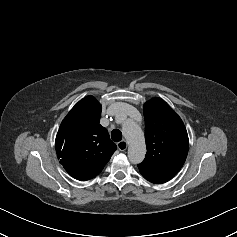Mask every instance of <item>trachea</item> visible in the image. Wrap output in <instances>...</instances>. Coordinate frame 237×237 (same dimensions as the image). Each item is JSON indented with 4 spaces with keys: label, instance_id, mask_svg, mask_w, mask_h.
I'll list each match as a JSON object with an SVG mask.
<instances>
[{
    "label": "trachea",
    "instance_id": "1",
    "mask_svg": "<svg viewBox=\"0 0 237 237\" xmlns=\"http://www.w3.org/2000/svg\"><path fill=\"white\" fill-rule=\"evenodd\" d=\"M111 138L115 142H119L122 139V132L118 129H114L111 132Z\"/></svg>",
    "mask_w": 237,
    "mask_h": 237
}]
</instances>
